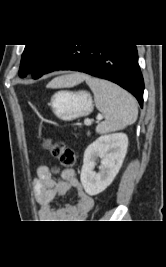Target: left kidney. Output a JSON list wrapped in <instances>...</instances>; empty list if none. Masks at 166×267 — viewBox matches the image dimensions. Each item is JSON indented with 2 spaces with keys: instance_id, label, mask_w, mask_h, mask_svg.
<instances>
[{
  "instance_id": "obj_1",
  "label": "left kidney",
  "mask_w": 166,
  "mask_h": 267,
  "mask_svg": "<svg viewBox=\"0 0 166 267\" xmlns=\"http://www.w3.org/2000/svg\"><path fill=\"white\" fill-rule=\"evenodd\" d=\"M127 147V135L114 133L99 137L86 148L80 180L88 195H97L112 183L122 166ZM98 157L101 171L96 173L94 168Z\"/></svg>"
}]
</instances>
